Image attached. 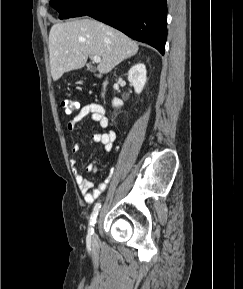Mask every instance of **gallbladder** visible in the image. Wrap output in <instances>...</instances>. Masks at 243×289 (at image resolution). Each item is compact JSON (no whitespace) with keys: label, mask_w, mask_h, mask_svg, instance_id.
Masks as SVG:
<instances>
[{"label":"gallbladder","mask_w":243,"mask_h":289,"mask_svg":"<svg viewBox=\"0 0 243 289\" xmlns=\"http://www.w3.org/2000/svg\"><path fill=\"white\" fill-rule=\"evenodd\" d=\"M87 70L93 72L94 71V67L93 66H88Z\"/></svg>","instance_id":"bac80fb5"}]
</instances>
